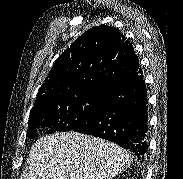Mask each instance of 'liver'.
Instances as JSON below:
<instances>
[{
  "label": "liver",
  "mask_w": 183,
  "mask_h": 179,
  "mask_svg": "<svg viewBox=\"0 0 183 179\" xmlns=\"http://www.w3.org/2000/svg\"><path fill=\"white\" fill-rule=\"evenodd\" d=\"M22 179H112L132 163L131 155L112 142L77 132L38 139Z\"/></svg>",
  "instance_id": "obj_1"
}]
</instances>
